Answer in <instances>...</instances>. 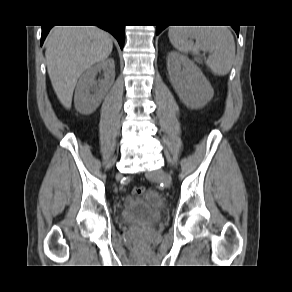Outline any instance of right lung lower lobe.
<instances>
[{"mask_svg": "<svg viewBox=\"0 0 292 292\" xmlns=\"http://www.w3.org/2000/svg\"><path fill=\"white\" fill-rule=\"evenodd\" d=\"M51 27L42 26L41 44L43 43L44 39L46 38ZM99 27L110 32L118 40L120 47L123 48L124 32H125L124 26H122V25H120V26H118V25H106V26L99 25Z\"/></svg>", "mask_w": 292, "mask_h": 292, "instance_id": "right-lung-lower-lobe-1", "label": "right lung lower lobe"}]
</instances>
